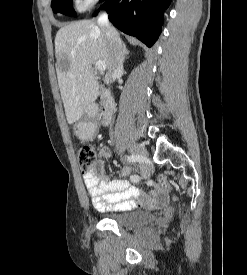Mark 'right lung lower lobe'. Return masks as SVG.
Here are the masks:
<instances>
[{
    "instance_id": "1",
    "label": "right lung lower lobe",
    "mask_w": 247,
    "mask_h": 275,
    "mask_svg": "<svg viewBox=\"0 0 247 275\" xmlns=\"http://www.w3.org/2000/svg\"><path fill=\"white\" fill-rule=\"evenodd\" d=\"M169 4L170 0H106L102 7L115 27L151 47L161 33Z\"/></svg>"
}]
</instances>
